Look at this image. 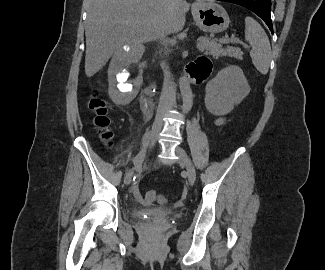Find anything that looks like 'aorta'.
<instances>
[{"label": "aorta", "mask_w": 325, "mask_h": 270, "mask_svg": "<svg viewBox=\"0 0 325 270\" xmlns=\"http://www.w3.org/2000/svg\"><path fill=\"white\" fill-rule=\"evenodd\" d=\"M179 88L183 99L182 109L184 113H187L192 108L193 95L192 90L190 88V84L184 77L179 78Z\"/></svg>", "instance_id": "762f6f07"}]
</instances>
